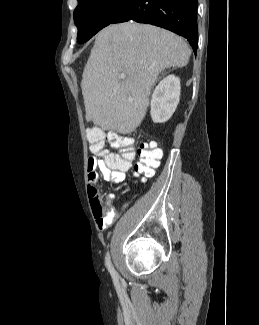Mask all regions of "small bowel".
I'll return each instance as SVG.
<instances>
[{
  "mask_svg": "<svg viewBox=\"0 0 259 325\" xmlns=\"http://www.w3.org/2000/svg\"><path fill=\"white\" fill-rule=\"evenodd\" d=\"M152 143L156 144L155 142ZM119 159L117 154L104 151L100 154V158H89L88 160V193L93 214L100 229H105L109 226L114 214L107 210L100 200L96 183L99 173L104 180L114 184L124 181L125 173L129 170V167L120 168L118 166ZM113 199L114 196L112 194L108 195L105 200L106 205L111 206Z\"/></svg>",
  "mask_w": 259,
  "mask_h": 325,
  "instance_id": "c3829d8e",
  "label": "small bowel"
}]
</instances>
